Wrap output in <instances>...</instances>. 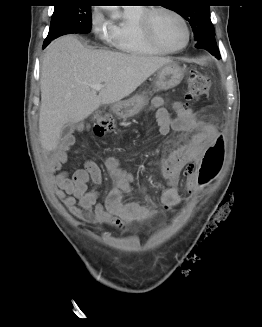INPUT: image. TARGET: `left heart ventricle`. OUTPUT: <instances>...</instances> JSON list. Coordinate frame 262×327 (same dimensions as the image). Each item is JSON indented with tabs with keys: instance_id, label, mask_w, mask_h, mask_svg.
<instances>
[{
	"instance_id": "1",
	"label": "left heart ventricle",
	"mask_w": 262,
	"mask_h": 327,
	"mask_svg": "<svg viewBox=\"0 0 262 327\" xmlns=\"http://www.w3.org/2000/svg\"><path fill=\"white\" fill-rule=\"evenodd\" d=\"M153 29L159 41L168 48H179L186 40L184 25L170 13H155L153 16Z\"/></svg>"
}]
</instances>
